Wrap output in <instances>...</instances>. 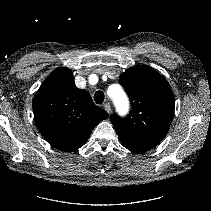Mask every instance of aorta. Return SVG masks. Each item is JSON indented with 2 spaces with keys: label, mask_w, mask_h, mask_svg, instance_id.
<instances>
[{
  "label": "aorta",
  "mask_w": 211,
  "mask_h": 211,
  "mask_svg": "<svg viewBox=\"0 0 211 211\" xmlns=\"http://www.w3.org/2000/svg\"><path fill=\"white\" fill-rule=\"evenodd\" d=\"M119 91H120V90H119ZM121 95H122L121 92H119L118 95H117V98H120Z\"/></svg>",
  "instance_id": "obj_1"
}]
</instances>
